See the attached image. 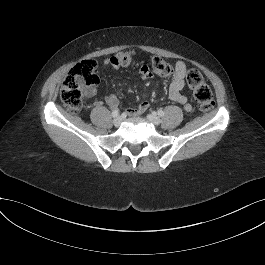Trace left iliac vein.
Returning a JSON list of instances; mask_svg holds the SVG:
<instances>
[{
  "label": "left iliac vein",
  "mask_w": 265,
  "mask_h": 265,
  "mask_svg": "<svg viewBox=\"0 0 265 265\" xmlns=\"http://www.w3.org/2000/svg\"><path fill=\"white\" fill-rule=\"evenodd\" d=\"M147 119L154 125H159L161 123V119L159 118V116L154 113L147 115Z\"/></svg>",
  "instance_id": "obj_1"
}]
</instances>
